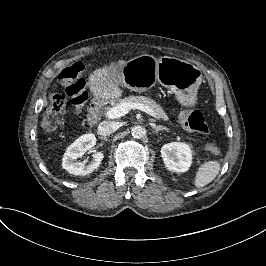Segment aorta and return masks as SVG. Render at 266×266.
<instances>
[{
    "label": "aorta",
    "mask_w": 266,
    "mask_h": 266,
    "mask_svg": "<svg viewBox=\"0 0 266 266\" xmlns=\"http://www.w3.org/2000/svg\"><path fill=\"white\" fill-rule=\"evenodd\" d=\"M131 134L134 139L141 140L146 136V129L143 126H134Z\"/></svg>",
    "instance_id": "762f6f07"
}]
</instances>
